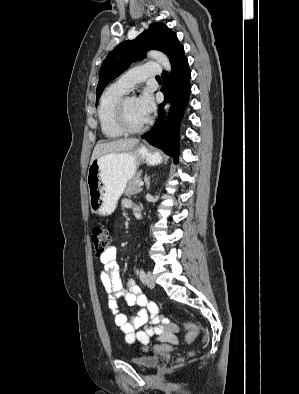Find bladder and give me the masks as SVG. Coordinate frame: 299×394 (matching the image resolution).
Masks as SVG:
<instances>
[{
    "label": "bladder",
    "mask_w": 299,
    "mask_h": 394,
    "mask_svg": "<svg viewBox=\"0 0 299 394\" xmlns=\"http://www.w3.org/2000/svg\"><path fill=\"white\" fill-rule=\"evenodd\" d=\"M161 358L156 355H138L129 358V362L135 366L141 367L143 369H151L156 367Z\"/></svg>",
    "instance_id": "obj_1"
}]
</instances>
